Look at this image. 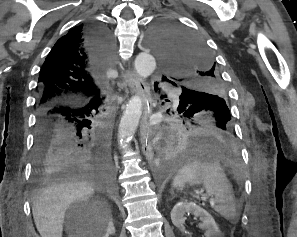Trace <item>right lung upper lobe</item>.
<instances>
[{"mask_svg": "<svg viewBox=\"0 0 297 237\" xmlns=\"http://www.w3.org/2000/svg\"><path fill=\"white\" fill-rule=\"evenodd\" d=\"M81 24L57 41L48 54L38 82L37 110L54 104H78L99 96L110 56L96 58L90 47V28Z\"/></svg>", "mask_w": 297, "mask_h": 237, "instance_id": "cb5924a9", "label": "right lung upper lobe"}]
</instances>
